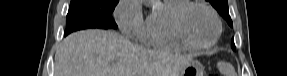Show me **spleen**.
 Here are the masks:
<instances>
[{
    "label": "spleen",
    "instance_id": "spleen-1",
    "mask_svg": "<svg viewBox=\"0 0 287 76\" xmlns=\"http://www.w3.org/2000/svg\"><path fill=\"white\" fill-rule=\"evenodd\" d=\"M218 69L224 76H236L234 68L226 62H219Z\"/></svg>",
    "mask_w": 287,
    "mask_h": 76
}]
</instances>
